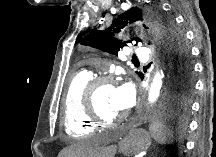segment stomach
Wrapping results in <instances>:
<instances>
[{"label":"stomach","mask_w":216,"mask_h":157,"mask_svg":"<svg viewBox=\"0 0 216 157\" xmlns=\"http://www.w3.org/2000/svg\"><path fill=\"white\" fill-rule=\"evenodd\" d=\"M150 145H151L150 135L144 129L130 130L125 135L121 143L122 148L129 155L139 154L142 151L147 150Z\"/></svg>","instance_id":"0dacf381"}]
</instances>
